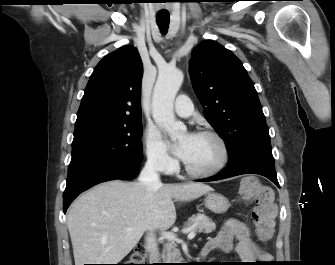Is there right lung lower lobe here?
Instances as JSON below:
<instances>
[{
	"label": "right lung lower lobe",
	"mask_w": 335,
	"mask_h": 265,
	"mask_svg": "<svg viewBox=\"0 0 335 265\" xmlns=\"http://www.w3.org/2000/svg\"><path fill=\"white\" fill-rule=\"evenodd\" d=\"M140 168L139 164L113 165V164H91L80 167L68 173L67 185L63 193V211L72 201L88 188L113 179L133 178Z\"/></svg>",
	"instance_id": "1"
}]
</instances>
